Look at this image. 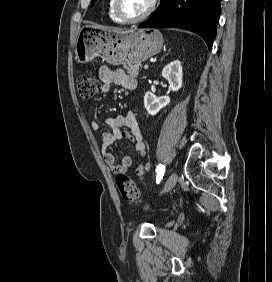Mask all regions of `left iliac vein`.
<instances>
[{
  "instance_id": "left-iliac-vein-1",
  "label": "left iliac vein",
  "mask_w": 272,
  "mask_h": 282,
  "mask_svg": "<svg viewBox=\"0 0 272 282\" xmlns=\"http://www.w3.org/2000/svg\"><path fill=\"white\" fill-rule=\"evenodd\" d=\"M177 179H178V176L175 172H173L169 178L167 179L164 187H163V190H162V193H166L168 191H170L176 184L177 182Z\"/></svg>"
}]
</instances>
